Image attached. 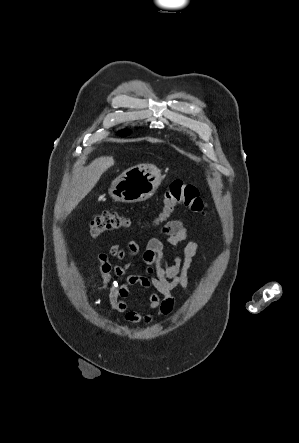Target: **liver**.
Instances as JSON below:
<instances>
[{"instance_id": "liver-1", "label": "liver", "mask_w": 299, "mask_h": 443, "mask_svg": "<svg viewBox=\"0 0 299 443\" xmlns=\"http://www.w3.org/2000/svg\"><path fill=\"white\" fill-rule=\"evenodd\" d=\"M114 165L112 156H103L93 160L77 176L65 203V217L94 188L101 175Z\"/></svg>"}]
</instances>
